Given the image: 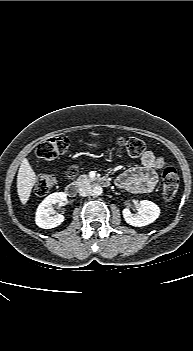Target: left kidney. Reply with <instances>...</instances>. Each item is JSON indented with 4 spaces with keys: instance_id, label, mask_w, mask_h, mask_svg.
I'll return each mask as SVG.
<instances>
[{
    "instance_id": "left-kidney-1",
    "label": "left kidney",
    "mask_w": 193,
    "mask_h": 351,
    "mask_svg": "<svg viewBox=\"0 0 193 351\" xmlns=\"http://www.w3.org/2000/svg\"><path fill=\"white\" fill-rule=\"evenodd\" d=\"M122 213L129 225L142 227L153 223L159 217L160 208L152 201L142 200L136 214L131 213L128 208H125Z\"/></svg>"
}]
</instances>
